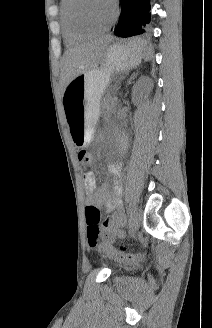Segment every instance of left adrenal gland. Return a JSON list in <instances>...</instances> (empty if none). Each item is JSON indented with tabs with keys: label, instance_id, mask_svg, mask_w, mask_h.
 I'll use <instances>...</instances> for the list:
<instances>
[{
	"label": "left adrenal gland",
	"instance_id": "left-adrenal-gland-1",
	"mask_svg": "<svg viewBox=\"0 0 212 328\" xmlns=\"http://www.w3.org/2000/svg\"><path fill=\"white\" fill-rule=\"evenodd\" d=\"M135 75H136L135 73L132 74V76L130 77L129 83H130L131 79H132Z\"/></svg>",
	"mask_w": 212,
	"mask_h": 328
}]
</instances>
